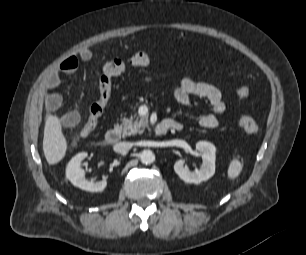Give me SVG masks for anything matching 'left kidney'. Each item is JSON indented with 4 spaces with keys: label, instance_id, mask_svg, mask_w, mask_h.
I'll return each instance as SVG.
<instances>
[{
    "label": "left kidney",
    "instance_id": "left-kidney-1",
    "mask_svg": "<svg viewBox=\"0 0 306 255\" xmlns=\"http://www.w3.org/2000/svg\"><path fill=\"white\" fill-rule=\"evenodd\" d=\"M196 150L202 157V165L199 170L190 171L184 166V161L181 159L174 164L175 173L186 183L199 184L207 181L215 173V146L210 142L200 141L196 144Z\"/></svg>",
    "mask_w": 306,
    "mask_h": 255
}]
</instances>
